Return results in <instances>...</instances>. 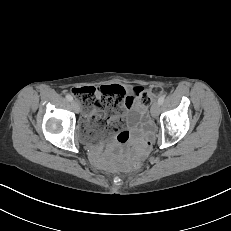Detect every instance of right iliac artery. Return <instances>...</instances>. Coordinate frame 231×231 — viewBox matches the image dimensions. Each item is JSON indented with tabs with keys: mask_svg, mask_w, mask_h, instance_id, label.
Returning a JSON list of instances; mask_svg holds the SVG:
<instances>
[{
	"mask_svg": "<svg viewBox=\"0 0 231 231\" xmlns=\"http://www.w3.org/2000/svg\"><path fill=\"white\" fill-rule=\"evenodd\" d=\"M66 99H67L69 102H71V101L73 100V97H72L71 95L68 94V95L66 96Z\"/></svg>",
	"mask_w": 231,
	"mask_h": 231,
	"instance_id": "obj_1",
	"label": "right iliac artery"
}]
</instances>
